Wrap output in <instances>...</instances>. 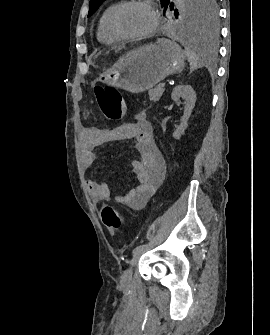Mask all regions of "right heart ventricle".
I'll list each match as a JSON object with an SVG mask.
<instances>
[{
  "label": "right heart ventricle",
  "instance_id": "right-heart-ventricle-1",
  "mask_svg": "<svg viewBox=\"0 0 270 335\" xmlns=\"http://www.w3.org/2000/svg\"><path fill=\"white\" fill-rule=\"evenodd\" d=\"M122 1L117 0L112 3H110L102 12L99 22H98V27H97V38L98 40L106 45H110L116 42H119L121 38L113 35L109 28H108V17L112 10L116 8Z\"/></svg>",
  "mask_w": 270,
  "mask_h": 335
}]
</instances>
